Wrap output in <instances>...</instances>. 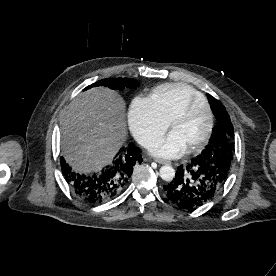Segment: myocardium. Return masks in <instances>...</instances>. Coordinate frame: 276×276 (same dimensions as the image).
Segmentation results:
<instances>
[{"instance_id": "f54148a6", "label": "myocardium", "mask_w": 276, "mask_h": 276, "mask_svg": "<svg viewBox=\"0 0 276 276\" xmlns=\"http://www.w3.org/2000/svg\"><path fill=\"white\" fill-rule=\"evenodd\" d=\"M199 106H202L208 113V125L204 136L196 144L187 149L190 153L201 150L211 138L214 127V113L211 106L206 100H193L177 114H175L170 120V128L172 129L177 122L188 118Z\"/></svg>"}]
</instances>
